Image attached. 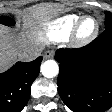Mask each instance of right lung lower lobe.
<instances>
[{
    "mask_svg": "<svg viewBox=\"0 0 112 112\" xmlns=\"http://www.w3.org/2000/svg\"><path fill=\"white\" fill-rule=\"evenodd\" d=\"M42 57L17 62L0 74V112H21L29 100L31 85L39 74Z\"/></svg>",
    "mask_w": 112,
    "mask_h": 112,
    "instance_id": "1",
    "label": "right lung lower lobe"
}]
</instances>
